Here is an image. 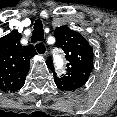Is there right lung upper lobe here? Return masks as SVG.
<instances>
[{
	"mask_svg": "<svg viewBox=\"0 0 117 117\" xmlns=\"http://www.w3.org/2000/svg\"><path fill=\"white\" fill-rule=\"evenodd\" d=\"M20 39L17 30L0 38V89L3 92H14L24 85L30 59L37 54L32 45L22 46Z\"/></svg>",
	"mask_w": 117,
	"mask_h": 117,
	"instance_id": "cb5924a9",
	"label": "right lung upper lobe"
}]
</instances>
